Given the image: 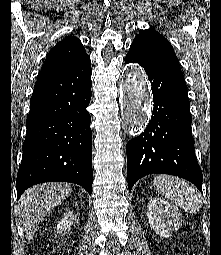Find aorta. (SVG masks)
Returning <instances> with one entry per match:
<instances>
[{"instance_id": "1", "label": "aorta", "mask_w": 221, "mask_h": 255, "mask_svg": "<svg viewBox=\"0 0 221 255\" xmlns=\"http://www.w3.org/2000/svg\"><path fill=\"white\" fill-rule=\"evenodd\" d=\"M120 102L129 134L138 135L149 121L152 99L146 78L136 64H132L127 71Z\"/></svg>"}]
</instances>
